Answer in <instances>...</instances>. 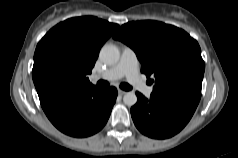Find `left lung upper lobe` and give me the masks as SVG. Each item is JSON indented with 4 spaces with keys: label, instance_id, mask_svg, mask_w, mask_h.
<instances>
[{
    "label": "left lung upper lobe",
    "instance_id": "left-lung-upper-lobe-1",
    "mask_svg": "<svg viewBox=\"0 0 238 158\" xmlns=\"http://www.w3.org/2000/svg\"><path fill=\"white\" fill-rule=\"evenodd\" d=\"M113 38L135 51L142 73L150 84L155 82L153 93L202 86L201 49L184 30L158 21H136L122 25Z\"/></svg>",
    "mask_w": 238,
    "mask_h": 158
}]
</instances>
